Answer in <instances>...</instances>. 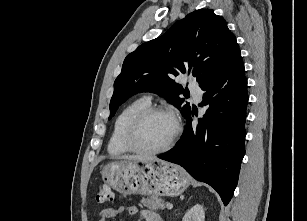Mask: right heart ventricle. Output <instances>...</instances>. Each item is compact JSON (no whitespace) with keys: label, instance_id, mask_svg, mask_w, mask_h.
Listing matches in <instances>:
<instances>
[{"label":"right heart ventricle","instance_id":"obj_1","mask_svg":"<svg viewBox=\"0 0 307 221\" xmlns=\"http://www.w3.org/2000/svg\"><path fill=\"white\" fill-rule=\"evenodd\" d=\"M150 106L147 98H139L126 105L117 115L108 142V152L111 155H121L129 152L124 143V134L131 119L142 109Z\"/></svg>","mask_w":307,"mask_h":221}]
</instances>
